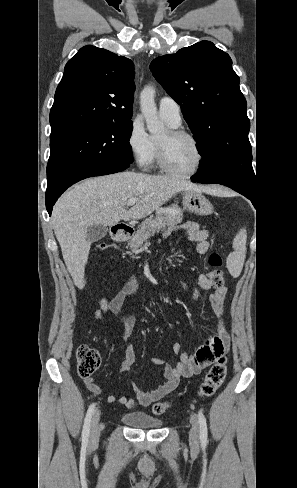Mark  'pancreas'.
I'll list each match as a JSON object with an SVG mask.
<instances>
[{
	"label": "pancreas",
	"mask_w": 297,
	"mask_h": 488,
	"mask_svg": "<svg viewBox=\"0 0 297 488\" xmlns=\"http://www.w3.org/2000/svg\"><path fill=\"white\" fill-rule=\"evenodd\" d=\"M165 209L168 210H158L154 218L150 217L142 222L140 228L129 242V247L132 252H138L142 248L144 242L163 227L176 225L182 222L183 211L181 208L177 205H171Z\"/></svg>",
	"instance_id": "1"
}]
</instances>
